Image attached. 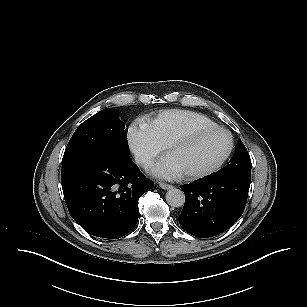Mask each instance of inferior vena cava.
<instances>
[{"instance_id":"obj_1","label":"inferior vena cava","mask_w":307,"mask_h":307,"mask_svg":"<svg viewBox=\"0 0 307 307\" xmlns=\"http://www.w3.org/2000/svg\"><path fill=\"white\" fill-rule=\"evenodd\" d=\"M136 162L143 165L144 167H150L151 161L142 157H137Z\"/></svg>"}]
</instances>
